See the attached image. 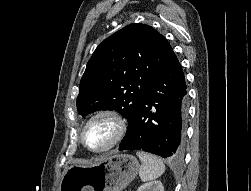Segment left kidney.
<instances>
[{"instance_id": "obj_1", "label": "left kidney", "mask_w": 251, "mask_h": 191, "mask_svg": "<svg viewBox=\"0 0 251 191\" xmlns=\"http://www.w3.org/2000/svg\"><path fill=\"white\" fill-rule=\"evenodd\" d=\"M137 191H164L161 181H148L138 187Z\"/></svg>"}]
</instances>
